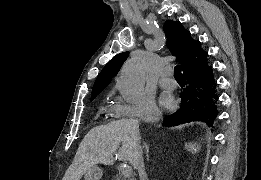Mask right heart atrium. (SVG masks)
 <instances>
[{"label":"right heart atrium","mask_w":261,"mask_h":180,"mask_svg":"<svg viewBox=\"0 0 261 180\" xmlns=\"http://www.w3.org/2000/svg\"><path fill=\"white\" fill-rule=\"evenodd\" d=\"M154 98L151 94H146V98H142L140 105L127 106L120 111L112 113V120L115 117H147L150 114H158ZM109 127V123H108Z\"/></svg>","instance_id":"right-heart-atrium-1"}]
</instances>
